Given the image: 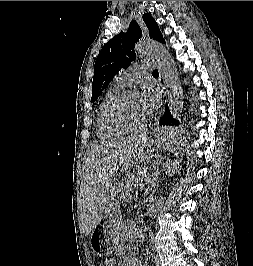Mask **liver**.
Listing matches in <instances>:
<instances>
[{"label":"liver","mask_w":253,"mask_h":266,"mask_svg":"<svg viewBox=\"0 0 253 266\" xmlns=\"http://www.w3.org/2000/svg\"><path fill=\"white\" fill-rule=\"evenodd\" d=\"M144 136L120 138L89 148L84 160L82 187L83 231L88 236L100 223L105 212L114 177L125 162L134 155Z\"/></svg>","instance_id":"1"}]
</instances>
